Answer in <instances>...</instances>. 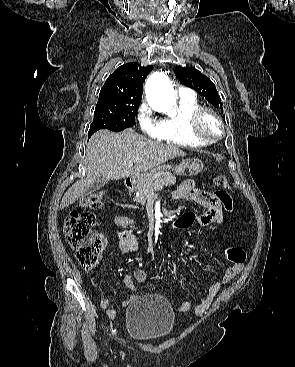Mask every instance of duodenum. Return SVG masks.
<instances>
[{"instance_id":"410a0bca","label":"duodenum","mask_w":295,"mask_h":367,"mask_svg":"<svg viewBox=\"0 0 295 367\" xmlns=\"http://www.w3.org/2000/svg\"><path fill=\"white\" fill-rule=\"evenodd\" d=\"M125 185L127 189H133L135 186V178L134 177H128L125 181Z\"/></svg>"}]
</instances>
